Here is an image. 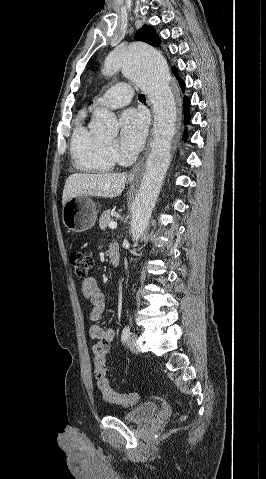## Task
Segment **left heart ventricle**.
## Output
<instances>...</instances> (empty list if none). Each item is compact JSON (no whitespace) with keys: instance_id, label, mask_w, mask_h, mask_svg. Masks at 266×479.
<instances>
[{"instance_id":"obj_1","label":"left heart ventricle","mask_w":266,"mask_h":479,"mask_svg":"<svg viewBox=\"0 0 266 479\" xmlns=\"http://www.w3.org/2000/svg\"><path fill=\"white\" fill-rule=\"evenodd\" d=\"M107 141H109V142H112V143H113V142L115 141V139H114V137H111V138H108V139H107Z\"/></svg>"}]
</instances>
